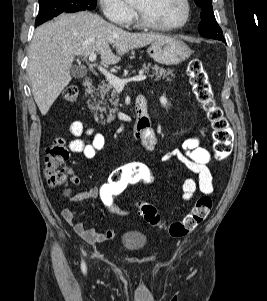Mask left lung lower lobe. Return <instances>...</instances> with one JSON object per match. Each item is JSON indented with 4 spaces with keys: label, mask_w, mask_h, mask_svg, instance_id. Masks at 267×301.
Wrapping results in <instances>:
<instances>
[{
    "label": "left lung lower lobe",
    "mask_w": 267,
    "mask_h": 301,
    "mask_svg": "<svg viewBox=\"0 0 267 301\" xmlns=\"http://www.w3.org/2000/svg\"><path fill=\"white\" fill-rule=\"evenodd\" d=\"M219 40L222 41V42H224V43H226L225 39H219Z\"/></svg>",
    "instance_id": "left-lung-lower-lobe-1"
}]
</instances>
